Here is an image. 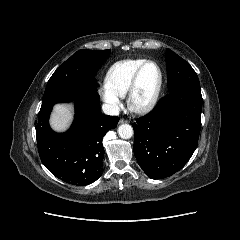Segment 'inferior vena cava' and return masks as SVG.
<instances>
[{"mask_svg":"<svg viewBox=\"0 0 240 240\" xmlns=\"http://www.w3.org/2000/svg\"><path fill=\"white\" fill-rule=\"evenodd\" d=\"M102 110L106 115L117 116L119 115L120 108L113 104H103Z\"/></svg>","mask_w":240,"mask_h":240,"instance_id":"inferior-vena-cava-1","label":"inferior vena cava"}]
</instances>
